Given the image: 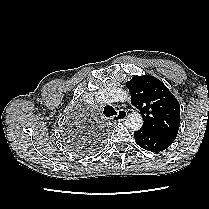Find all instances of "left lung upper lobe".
I'll return each instance as SVG.
<instances>
[{
  "label": "left lung upper lobe",
  "mask_w": 209,
  "mask_h": 209,
  "mask_svg": "<svg viewBox=\"0 0 209 209\" xmlns=\"http://www.w3.org/2000/svg\"><path fill=\"white\" fill-rule=\"evenodd\" d=\"M126 85L132 104L143 117L141 128L176 138L180 126V106L168 88L150 75L134 76Z\"/></svg>",
  "instance_id": "obj_1"
}]
</instances>
